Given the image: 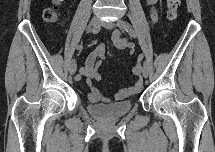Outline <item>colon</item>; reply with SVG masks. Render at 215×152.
<instances>
[{
    "label": "colon",
    "instance_id": "obj_1",
    "mask_svg": "<svg viewBox=\"0 0 215 152\" xmlns=\"http://www.w3.org/2000/svg\"><path fill=\"white\" fill-rule=\"evenodd\" d=\"M61 3V1L56 0L54 1V5L51 7H48L43 12V18L44 20L49 24H55L58 19V5ZM167 11H166V17L168 21L172 22L177 18L178 14V8L180 6V0H167ZM132 73L135 76H140L141 74V66L139 63H137L133 69Z\"/></svg>",
    "mask_w": 215,
    "mask_h": 152
}]
</instances>
